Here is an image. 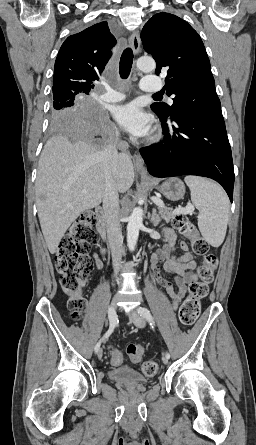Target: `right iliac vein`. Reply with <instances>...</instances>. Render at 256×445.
Returning a JSON list of instances; mask_svg holds the SVG:
<instances>
[{"mask_svg": "<svg viewBox=\"0 0 256 445\" xmlns=\"http://www.w3.org/2000/svg\"><path fill=\"white\" fill-rule=\"evenodd\" d=\"M116 302H117V297L113 298L111 304H110V315H114L115 313V309H116ZM98 358H101L103 355V351L102 349H99V351L97 352Z\"/></svg>", "mask_w": 256, "mask_h": 445, "instance_id": "right-iliac-vein-1", "label": "right iliac vein"}]
</instances>
